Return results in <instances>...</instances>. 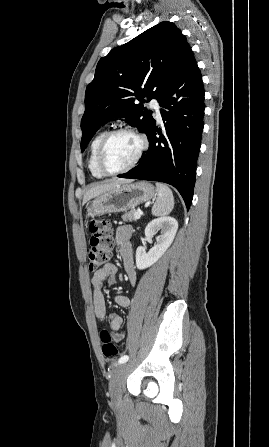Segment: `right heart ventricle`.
I'll use <instances>...</instances> for the list:
<instances>
[{"instance_id":"right-heart-ventricle-1","label":"right heart ventricle","mask_w":269,"mask_h":447,"mask_svg":"<svg viewBox=\"0 0 269 447\" xmlns=\"http://www.w3.org/2000/svg\"><path fill=\"white\" fill-rule=\"evenodd\" d=\"M107 132H108L107 129L99 131L92 139L91 145H90L89 169H90L92 175L97 178H101L106 175L105 173H103L101 171V169L98 166L97 156H98V150H99L100 143Z\"/></svg>"}]
</instances>
